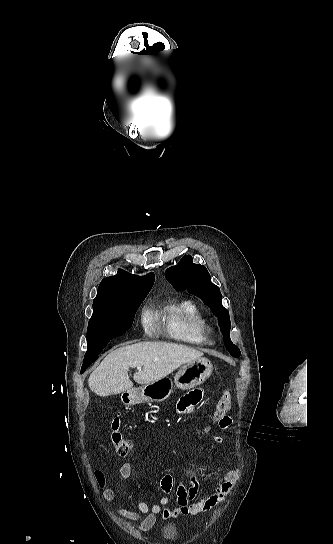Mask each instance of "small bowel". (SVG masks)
I'll use <instances>...</instances> for the list:
<instances>
[{
	"instance_id": "1",
	"label": "small bowel",
	"mask_w": 333,
	"mask_h": 544,
	"mask_svg": "<svg viewBox=\"0 0 333 544\" xmlns=\"http://www.w3.org/2000/svg\"><path fill=\"white\" fill-rule=\"evenodd\" d=\"M204 391L201 388L195 389L188 394L182 396L177 403V412L180 415L190 416L205 413L202 407ZM231 424L229 417L225 416L219 421L221 429H227ZM215 441L219 444L223 439L219 435H215ZM132 473V465L130 462H124L120 469L118 480L124 481L130 477ZM239 477L238 470H230L222 474L215 482L212 489L199 496V482L197 477L189 473V486L182 482H178L175 486L176 506H170V498L163 496L158 504L148 505L145 502L137 504V511L126 508H114V513L127 520L139 521L138 528L141 531L150 530L155 522L156 516L162 514L165 518H173L180 515H200L207 513L213 509L223 498L230 492ZM174 483L170 475H165L161 480V489L165 494L173 491ZM103 497L106 503L110 504L116 497V489L114 487H105L103 489Z\"/></svg>"
}]
</instances>
